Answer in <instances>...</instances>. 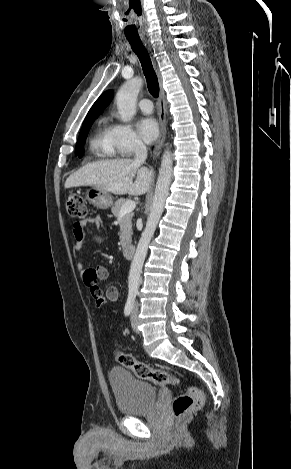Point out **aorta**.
Listing matches in <instances>:
<instances>
[{"mask_svg":"<svg viewBox=\"0 0 291 469\" xmlns=\"http://www.w3.org/2000/svg\"><path fill=\"white\" fill-rule=\"evenodd\" d=\"M142 85V79L136 77L123 84L118 90L116 94V104L118 113L123 122H128L134 117L136 113V100ZM172 165L173 162L171 154L167 149L164 151L162 156L159 176L146 227L141 235L131 263L128 276V290L130 294H136L139 289L140 275L146 258L148 245L162 216L165 200L169 193V186L172 177Z\"/></svg>","mask_w":291,"mask_h":469,"instance_id":"aorta-1","label":"aorta"}]
</instances>
